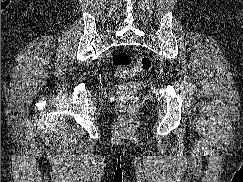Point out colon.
<instances>
[{
	"mask_svg": "<svg viewBox=\"0 0 243 182\" xmlns=\"http://www.w3.org/2000/svg\"><path fill=\"white\" fill-rule=\"evenodd\" d=\"M112 67L117 76L130 77L136 73L148 72L152 67V60L148 56L134 59L127 52H119L112 59ZM121 108L126 116H131L135 111L140 98L130 90L119 92Z\"/></svg>",
	"mask_w": 243,
	"mask_h": 182,
	"instance_id": "obj_1",
	"label": "colon"
}]
</instances>
